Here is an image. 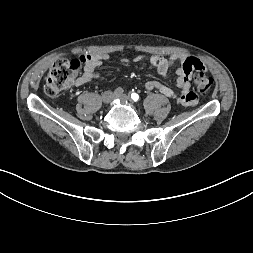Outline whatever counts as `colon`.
I'll list each match as a JSON object with an SVG mask.
<instances>
[{"instance_id":"1","label":"colon","mask_w":253,"mask_h":253,"mask_svg":"<svg viewBox=\"0 0 253 253\" xmlns=\"http://www.w3.org/2000/svg\"><path fill=\"white\" fill-rule=\"evenodd\" d=\"M83 60L66 59L57 60L50 68L44 84V92L48 96H56L63 91L70 82L80 73ZM186 64L191 67L194 75L193 81L197 90L207 93L213 87L214 81L207 74L203 63L196 58H189Z\"/></svg>"}]
</instances>
